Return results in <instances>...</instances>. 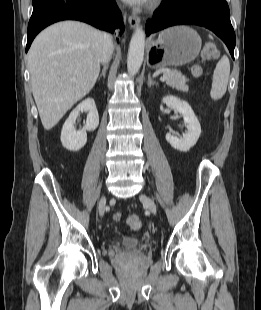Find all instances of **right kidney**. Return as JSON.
Returning <instances> with one entry per match:
<instances>
[{
	"label": "right kidney",
	"mask_w": 261,
	"mask_h": 310,
	"mask_svg": "<svg viewBox=\"0 0 261 310\" xmlns=\"http://www.w3.org/2000/svg\"><path fill=\"white\" fill-rule=\"evenodd\" d=\"M81 112H87L86 125L82 130L76 131L75 122ZM99 125V115L92 98L82 101L69 115L65 121L62 132L61 142L64 148L70 151H78L87 142L86 131H94Z\"/></svg>",
	"instance_id": "1"
}]
</instances>
